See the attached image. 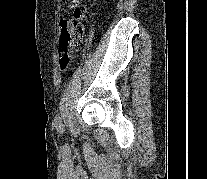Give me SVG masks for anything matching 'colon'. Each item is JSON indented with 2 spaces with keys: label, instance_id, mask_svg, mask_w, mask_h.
<instances>
[{
  "label": "colon",
  "instance_id": "colon-1",
  "mask_svg": "<svg viewBox=\"0 0 207 179\" xmlns=\"http://www.w3.org/2000/svg\"><path fill=\"white\" fill-rule=\"evenodd\" d=\"M72 10L73 18L61 24L60 66L67 69L71 58V47L80 45L84 38V26L81 22L86 13V6L81 0H67Z\"/></svg>",
  "mask_w": 207,
  "mask_h": 179
}]
</instances>
